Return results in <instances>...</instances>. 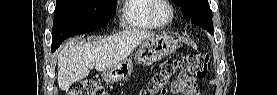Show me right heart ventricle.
<instances>
[{
    "mask_svg": "<svg viewBox=\"0 0 277 95\" xmlns=\"http://www.w3.org/2000/svg\"><path fill=\"white\" fill-rule=\"evenodd\" d=\"M155 0H124L122 25L126 29H153L156 24L148 12Z\"/></svg>",
    "mask_w": 277,
    "mask_h": 95,
    "instance_id": "right-heart-ventricle-1",
    "label": "right heart ventricle"
}]
</instances>
